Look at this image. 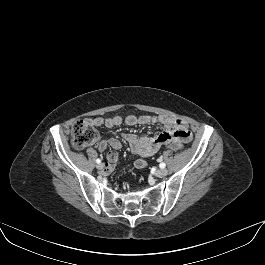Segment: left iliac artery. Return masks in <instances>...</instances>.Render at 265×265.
I'll return each mask as SVG.
<instances>
[{
  "label": "left iliac artery",
  "instance_id": "1",
  "mask_svg": "<svg viewBox=\"0 0 265 265\" xmlns=\"http://www.w3.org/2000/svg\"><path fill=\"white\" fill-rule=\"evenodd\" d=\"M158 161L161 162V161H162V158L160 157V158L158 159ZM159 166H160V168H165V167H166V164L162 162V163H160Z\"/></svg>",
  "mask_w": 265,
  "mask_h": 265
}]
</instances>
